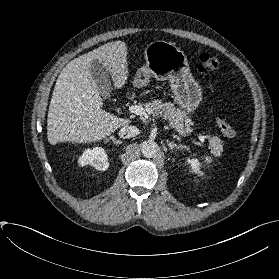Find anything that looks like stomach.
I'll return each mask as SVG.
<instances>
[{
    "label": "stomach",
    "instance_id": "0dacf381",
    "mask_svg": "<svg viewBox=\"0 0 279 279\" xmlns=\"http://www.w3.org/2000/svg\"><path fill=\"white\" fill-rule=\"evenodd\" d=\"M146 64L135 76L137 86L146 85L149 78L169 80L176 103L187 113L197 109L202 100V88L191 74L184 52L171 42L157 40L145 49Z\"/></svg>",
    "mask_w": 279,
    "mask_h": 279
}]
</instances>
